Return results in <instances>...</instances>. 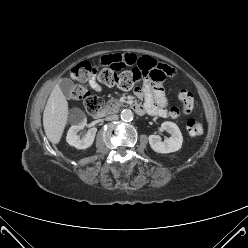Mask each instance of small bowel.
Listing matches in <instances>:
<instances>
[{
	"instance_id": "c3829d8e",
	"label": "small bowel",
	"mask_w": 248,
	"mask_h": 248,
	"mask_svg": "<svg viewBox=\"0 0 248 248\" xmlns=\"http://www.w3.org/2000/svg\"><path fill=\"white\" fill-rule=\"evenodd\" d=\"M101 63L117 69L137 66L147 73L155 71L157 78L174 75V70L167 65L159 63L149 56L137 57L130 52L106 55L101 58ZM88 83L95 91H101V85L95 77H91ZM136 94L144 100L143 107L140 105L143 111L162 118L169 116L168 100L161 86H152L149 81H145L142 87L136 90Z\"/></svg>"
}]
</instances>
